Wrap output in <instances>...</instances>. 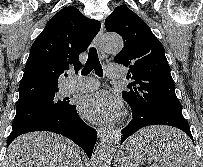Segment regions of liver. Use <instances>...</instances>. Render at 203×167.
I'll return each mask as SVG.
<instances>
[{"mask_svg":"<svg viewBox=\"0 0 203 167\" xmlns=\"http://www.w3.org/2000/svg\"><path fill=\"white\" fill-rule=\"evenodd\" d=\"M148 137L161 141L185 135L176 129L157 127L140 131L129 142L135 145ZM81 164L80 150L71 140L49 132H32L19 136L10 144L2 167H81Z\"/></svg>","mask_w":203,"mask_h":167,"instance_id":"obj_1","label":"liver"}]
</instances>
